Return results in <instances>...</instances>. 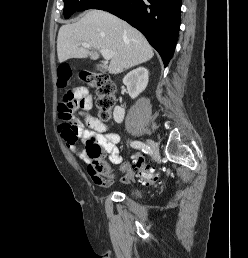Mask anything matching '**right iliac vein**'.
I'll list each match as a JSON object with an SVG mask.
<instances>
[{
    "label": "right iliac vein",
    "mask_w": 248,
    "mask_h": 258,
    "mask_svg": "<svg viewBox=\"0 0 248 258\" xmlns=\"http://www.w3.org/2000/svg\"><path fill=\"white\" fill-rule=\"evenodd\" d=\"M146 143L148 144V146L150 148L152 160L157 159V157L159 156V147H158L157 143L151 139H147Z\"/></svg>",
    "instance_id": "63e3f726"
}]
</instances>
